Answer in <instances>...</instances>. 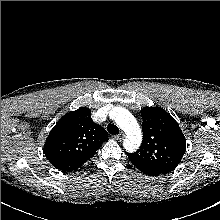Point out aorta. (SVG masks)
<instances>
[{"instance_id":"762f6f07","label":"aorta","mask_w":220,"mask_h":220,"mask_svg":"<svg viewBox=\"0 0 220 220\" xmlns=\"http://www.w3.org/2000/svg\"><path fill=\"white\" fill-rule=\"evenodd\" d=\"M114 120L126 134L124 149L128 152L136 151L142 142V134L135 117L128 110L117 107L114 108Z\"/></svg>"}]
</instances>
